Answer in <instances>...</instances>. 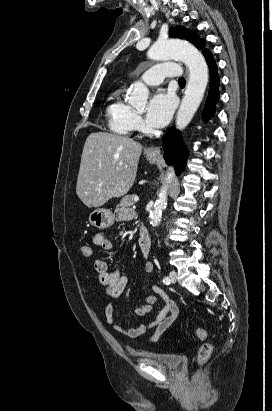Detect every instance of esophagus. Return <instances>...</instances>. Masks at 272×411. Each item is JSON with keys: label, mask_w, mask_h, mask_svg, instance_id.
<instances>
[{"label": "esophagus", "mask_w": 272, "mask_h": 411, "mask_svg": "<svg viewBox=\"0 0 272 411\" xmlns=\"http://www.w3.org/2000/svg\"><path fill=\"white\" fill-rule=\"evenodd\" d=\"M186 74H187V71H186ZM146 153L148 155H151V156H156V157L161 156L160 147H151V148L147 149Z\"/></svg>", "instance_id": "esophagus-1"}]
</instances>
